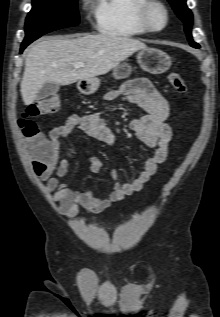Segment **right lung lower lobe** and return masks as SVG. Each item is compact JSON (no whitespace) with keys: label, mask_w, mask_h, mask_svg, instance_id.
Returning a JSON list of instances; mask_svg holds the SVG:
<instances>
[{"label":"right lung lower lobe","mask_w":220,"mask_h":317,"mask_svg":"<svg viewBox=\"0 0 220 317\" xmlns=\"http://www.w3.org/2000/svg\"><path fill=\"white\" fill-rule=\"evenodd\" d=\"M31 42H32V41H30V42H23L22 45H21L20 53H22V51H23Z\"/></svg>","instance_id":"right-lung-lower-lobe-1"}]
</instances>
